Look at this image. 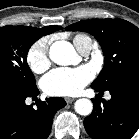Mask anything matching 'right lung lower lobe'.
<instances>
[{
	"mask_svg": "<svg viewBox=\"0 0 139 139\" xmlns=\"http://www.w3.org/2000/svg\"><path fill=\"white\" fill-rule=\"evenodd\" d=\"M38 94L37 87L24 91L0 85V139H47L55 113L66 102L63 98H47L39 100L37 108L26 105V98Z\"/></svg>",
	"mask_w": 139,
	"mask_h": 139,
	"instance_id": "obj_1",
	"label": "right lung lower lobe"
}]
</instances>
